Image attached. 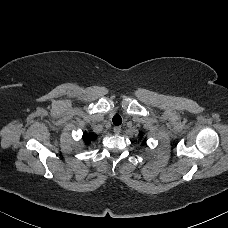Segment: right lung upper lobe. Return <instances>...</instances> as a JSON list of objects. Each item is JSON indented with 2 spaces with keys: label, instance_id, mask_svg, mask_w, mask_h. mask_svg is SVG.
<instances>
[{
  "label": "right lung upper lobe",
  "instance_id": "obj_1",
  "mask_svg": "<svg viewBox=\"0 0 228 228\" xmlns=\"http://www.w3.org/2000/svg\"><path fill=\"white\" fill-rule=\"evenodd\" d=\"M97 138L96 135L92 134V133H87L85 132L82 136V139L85 143V145H89L92 141H94Z\"/></svg>",
  "mask_w": 228,
  "mask_h": 228
}]
</instances>
